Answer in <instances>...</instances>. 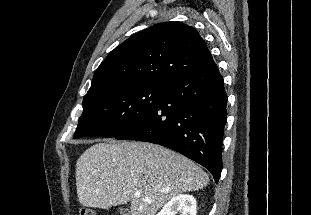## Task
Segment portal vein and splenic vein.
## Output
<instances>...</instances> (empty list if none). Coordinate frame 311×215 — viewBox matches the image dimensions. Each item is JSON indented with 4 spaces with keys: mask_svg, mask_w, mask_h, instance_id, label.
Masks as SVG:
<instances>
[{
    "mask_svg": "<svg viewBox=\"0 0 311 215\" xmlns=\"http://www.w3.org/2000/svg\"><path fill=\"white\" fill-rule=\"evenodd\" d=\"M134 196H135V197H140V196H141V193H140L139 191H135V192H134ZM144 200H145V201H149V198L146 197V198H144Z\"/></svg>",
    "mask_w": 311,
    "mask_h": 215,
    "instance_id": "portal-vein-and-splenic-vein-1",
    "label": "portal vein and splenic vein"
}]
</instances>
